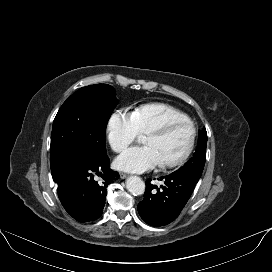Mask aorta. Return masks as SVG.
<instances>
[{"label":"aorta","mask_w":272,"mask_h":272,"mask_svg":"<svg viewBox=\"0 0 272 272\" xmlns=\"http://www.w3.org/2000/svg\"><path fill=\"white\" fill-rule=\"evenodd\" d=\"M127 190L134 196L142 195L145 192V183L138 176H131L126 180Z\"/></svg>","instance_id":"1"}]
</instances>
